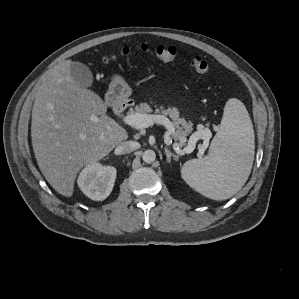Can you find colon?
Instances as JSON below:
<instances>
[{"mask_svg": "<svg viewBox=\"0 0 299 299\" xmlns=\"http://www.w3.org/2000/svg\"><path fill=\"white\" fill-rule=\"evenodd\" d=\"M137 53H150L163 62H171L177 55V49L173 46L159 45L150 48L146 44L137 47H124L118 54L104 58L105 63L116 61L118 58H126ZM192 68L199 74L206 75L210 72V66L206 60L200 56H195L191 61Z\"/></svg>", "mask_w": 299, "mask_h": 299, "instance_id": "colon-1", "label": "colon"}]
</instances>
